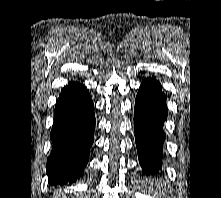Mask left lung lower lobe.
<instances>
[{"mask_svg": "<svg viewBox=\"0 0 221 198\" xmlns=\"http://www.w3.org/2000/svg\"><path fill=\"white\" fill-rule=\"evenodd\" d=\"M167 118L166 98L154 77L142 81L134 109V130L139 162L145 174H155L162 165Z\"/></svg>", "mask_w": 221, "mask_h": 198, "instance_id": "1", "label": "left lung lower lobe"}]
</instances>
